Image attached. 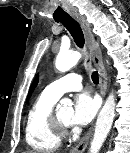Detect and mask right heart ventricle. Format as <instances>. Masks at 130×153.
<instances>
[{
	"instance_id": "1",
	"label": "right heart ventricle",
	"mask_w": 130,
	"mask_h": 153,
	"mask_svg": "<svg viewBox=\"0 0 130 153\" xmlns=\"http://www.w3.org/2000/svg\"><path fill=\"white\" fill-rule=\"evenodd\" d=\"M57 98L45 90L30 108L25 121L27 144L38 152H52L60 145V134L53 128L50 116Z\"/></svg>"
}]
</instances>
